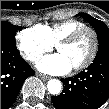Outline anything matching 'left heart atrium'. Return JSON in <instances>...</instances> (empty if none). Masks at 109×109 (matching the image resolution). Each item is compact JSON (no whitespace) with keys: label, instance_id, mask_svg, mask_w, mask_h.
I'll return each instance as SVG.
<instances>
[{"label":"left heart atrium","instance_id":"39dd6f15","mask_svg":"<svg viewBox=\"0 0 109 109\" xmlns=\"http://www.w3.org/2000/svg\"><path fill=\"white\" fill-rule=\"evenodd\" d=\"M36 66L40 71L51 75H62L72 69L69 61L61 53L43 57Z\"/></svg>","mask_w":109,"mask_h":109}]
</instances>
